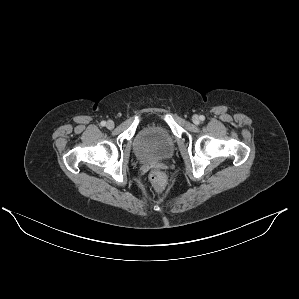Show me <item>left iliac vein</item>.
Instances as JSON below:
<instances>
[{
  "label": "left iliac vein",
  "instance_id": "4c4485c4",
  "mask_svg": "<svg viewBox=\"0 0 299 299\" xmlns=\"http://www.w3.org/2000/svg\"><path fill=\"white\" fill-rule=\"evenodd\" d=\"M192 121H193L194 124H199L200 119H199V117H198L197 115H194V116L192 117Z\"/></svg>",
  "mask_w": 299,
  "mask_h": 299
}]
</instances>
